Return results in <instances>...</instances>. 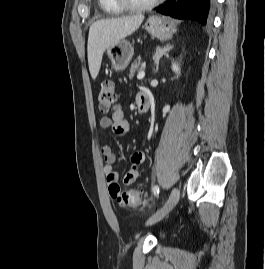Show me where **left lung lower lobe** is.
I'll use <instances>...</instances> for the list:
<instances>
[{"instance_id":"left-lung-lower-lobe-1","label":"left lung lower lobe","mask_w":265,"mask_h":269,"mask_svg":"<svg viewBox=\"0 0 265 269\" xmlns=\"http://www.w3.org/2000/svg\"><path fill=\"white\" fill-rule=\"evenodd\" d=\"M215 0H170L163 7L157 9L158 13L178 19L194 20L206 25L213 15Z\"/></svg>"}]
</instances>
